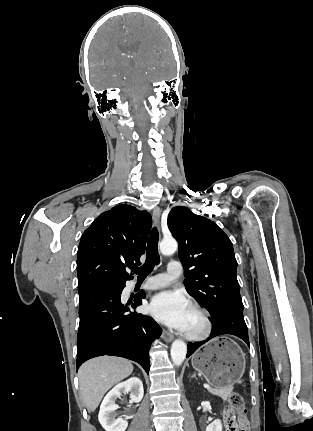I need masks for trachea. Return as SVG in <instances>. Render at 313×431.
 Returning <instances> with one entry per match:
<instances>
[{
  "label": "trachea",
  "instance_id": "1",
  "mask_svg": "<svg viewBox=\"0 0 313 431\" xmlns=\"http://www.w3.org/2000/svg\"><path fill=\"white\" fill-rule=\"evenodd\" d=\"M158 240V230L153 228L147 243V257L144 265L132 268V271L138 275V279H145L151 273L154 266L159 264Z\"/></svg>",
  "mask_w": 313,
  "mask_h": 431
}]
</instances>
